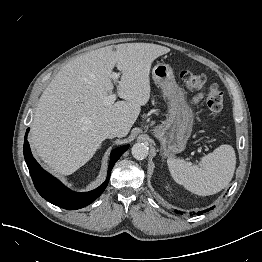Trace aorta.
<instances>
[{"label":"aorta","mask_w":262,"mask_h":262,"mask_svg":"<svg viewBox=\"0 0 262 262\" xmlns=\"http://www.w3.org/2000/svg\"><path fill=\"white\" fill-rule=\"evenodd\" d=\"M132 156L137 160H143L148 156L149 148L145 143H135L131 149Z\"/></svg>","instance_id":"aorta-1"}]
</instances>
